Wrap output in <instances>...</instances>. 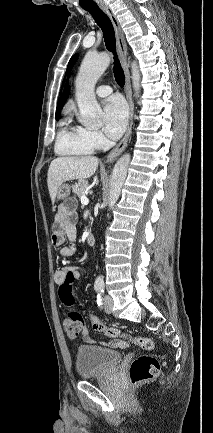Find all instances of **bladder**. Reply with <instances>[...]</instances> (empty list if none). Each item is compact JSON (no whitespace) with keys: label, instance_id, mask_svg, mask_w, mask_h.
<instances>
[{"label":"bladder","instance_id":"1","mask_svg":"<svg viewBox=\"0 0 213 433\" xmlns=\"http://www.w3.org/2000/svg\"><path fill=\"white\" fill-rule=\"evenodd\" d=\"M123 359L119 351L94 346L80 345L76 350V370L80 378L91 379L110 373Z\"/></svg>","mask_w":213,"mask_h":433}]
</instances>
